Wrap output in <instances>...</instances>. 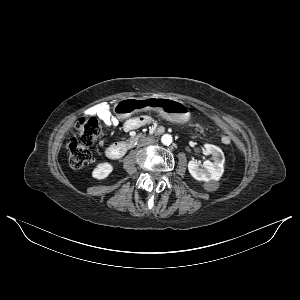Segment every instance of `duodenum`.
<instances>
[{
  "label": "duodenum",
  "instance_id": "1",
  "mask_svg": "<svg viewBox=\"0 0 300 300\" xmlns=\"http://www.w3.org/2000/svg\"><path fill=\"white\" fill-rule=\"evenodd\" d=\"M134 143L135 138H131L128 141L124 142L113 143L105 149V154L110 159L121 158L134 145Z\"/></svg>",
  "mask_w": 300,
  "mask_h": 300
}]
</instances>
